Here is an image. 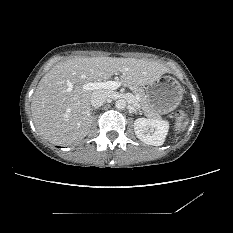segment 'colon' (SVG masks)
I'll return each instance as SVG.
<instances>
[{
    "instance_id": "1",
    "label": "colon",
    "mask_w": 233,
    "mask_h": 233,
    "mask_svg": "<svg viewBox=\"0 0 233 233\" xmlns=\"http://www.w3.org/2000/svg\"><path fill=\"white\" fill-rule=\"evenodd\" d=\"M185 117V112L181 109L177 110L175 113V128L178 130L181 128Z\"/></svg>"
}]
</instances>
